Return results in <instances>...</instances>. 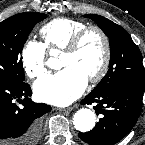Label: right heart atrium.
I'll return each mask as SVG.
<instances>
[{
    "label": "right heart atrium",
    "instance_id": "obj_1",
    "mask_svg": "<svg viewBox=\"0 0 145 145\" xmlns=\"http://www.w3.org/2000/svg\"><path fill=\"white\" fill-rule=\"evenodd\" d=\"M21 62L30 78H38L47 72L46 49L35 40H29L21 51Z\"/></svg>",
    "mask_w": 145,
    "mask_h": 145
}]
</instances>
